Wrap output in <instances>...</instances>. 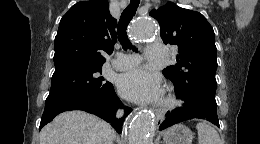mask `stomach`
I'll return each instance as SVG.
<instances>
[{"instance_id":"1","label":"stomach","mask_w":260,"mask_h":144,"mask_svg":"<svg viewBox=\"0 0 260 144\" xmlns=\"http://www.w3.org/2000/svg\"><path fill=\"white\" fill-rule=\"evenodd\" d=\"M192 131L183 124H176L165 130L163 135L164 144H191Z\"/></svg>"}]
</instances>
